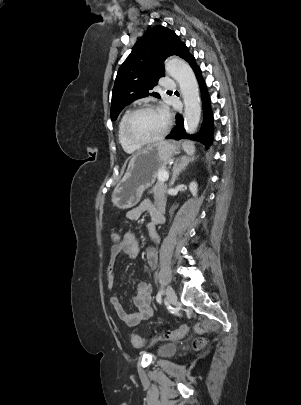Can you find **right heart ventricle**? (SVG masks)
<instances>
[{
  "label": "right heart ventricle",
  "instance_id": "right-heart-ventricle-1",
  "mask_svg": "<svg viewBox=\"0 0 301 405\" xmlns=\"http://www.w3.org/2000/svg\"><path fill=\"white\" fill-rule=\"evenodd\" d=\"M126 115H127V113L123 114L122 117L120 118V121H119V123H118L117 135H118L119 143H120V145L122 146L123 150H124L126 153L131 154V153H134V152L138 151L140 147H136V146L130 144V143L125 139V137H124V135H123V123H124V120H125Z\"/></svg>",
  "mask_w": 301,
  "mask_h": 405
}]
</instances>
